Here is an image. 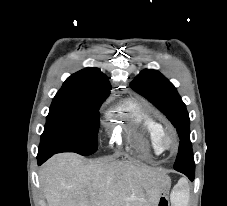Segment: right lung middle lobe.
<instances>
[{
  "label": "right lung middle lobe",
  "instance_id": "1",
  "mask_svg": "<svg viewBox=\"0 0 227 206\" xmlns=\"http://www.w3.org/2000/svg\"><path fill=\"white\" fill-rule=\"evenodd\" d=\"M105 98L56 94L38 154L76 152L87 156L94 153L99 130L98 108Z\"/></svg>",
  "mask_w": 227,
  "mask_h": 206
}]
</instances>
